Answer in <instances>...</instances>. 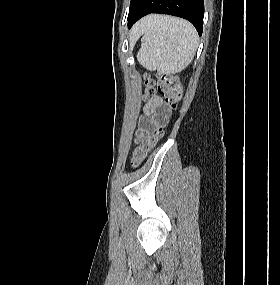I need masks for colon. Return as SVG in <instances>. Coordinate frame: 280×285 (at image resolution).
I'll return each mask as SVG.
<instances>
[{
	"label": "colon",
	"instance_id": "1",
	"mask_svg": "<svg viewBox=\"0 0 280 285\" xmlns=\"http://www.w3.org/2000/svg\"><path fill=\"white\" fill-rule=\"evenodd\" d=\"M158 90L165 102L171 109H175L181 99V89L177 78L169 73H162L157 76ZM154 81L149 75L144 76V89L146 94H151ZM165 120H157L140 138L138 145L133 151L132 162L138 165L153 148L163 135Z\"/></svg>",
	"mask_w": 280,
	"mask_h": 285
}]
</instances>
